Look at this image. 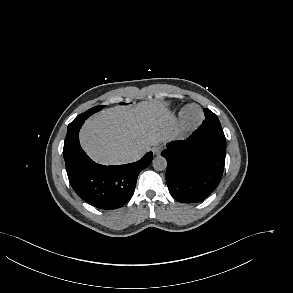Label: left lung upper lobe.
Masks as SVG:
<instances>
[{"label": "left lung upper lobe", "instance_id": "5c2ea615", "mask_svg": "<svg viewBox=\"0 0 293 293\" xmlns=\"http://www.w3.org/2000/svg\"><path fill=\"white\" fill-rule=\"evenodd\" d=\"M204 114L206 118L203 121V124L213 126L216 132L222 131V127L219 122V119L212 111H210L209 109H204Z\"/></svg>", "mask_w": 293, "mask_h": 293}]
</instances>
